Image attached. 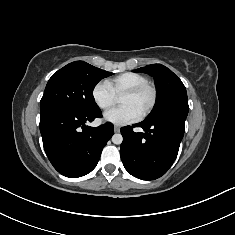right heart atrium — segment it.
<instances>
[{"instance_id": "1", "label": "right heart atrium", "mask_w": 235, "mask_h": 235, "mask_svg": "<svg viewBox=\"0 0 235 235\" xmlns=\"http://www.w3.org/2000/svg\"><path fill=\"white\" fill-rule=\"evenodd\" d=\"M91 96L94 103L102 110L111 108L116 101L115 93L108 82L104 80L97 82L93 86Z\"/></svg>"}]
</instances>
